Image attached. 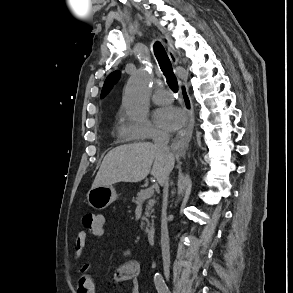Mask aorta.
<instances>
[{"instance_id": "1", "label": "aorta", "mask_w": 293, "mask_h": 293, "mask_svg": "<svg viewBox=\"0 0 293 293\" xmlns=\"http://www.w3.org/2000/svg\"><path fill=\"white\" fill-rule=\"evenodd\" d=\"M153 74L147 68H140L126 85L123 104L126 112L135 118H144L148 113V93Z\"/></svg>"}]
</instances>
